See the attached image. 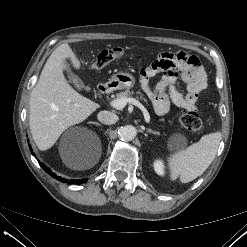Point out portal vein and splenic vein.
Segmentation results:
<instances>
[{
	"mask_svg": "<svg viewBox=\"0 0 247 247\" xmlns=\"http://www.w3.org/2000/svg\"><path fill=\"white\" fill-rule=\"evenodd\" d=\"M127 103H131L137 107H139L142 111H143V115H144V118H145V121L147 123L150 122V115L148 113V110L138 101L136 100L135 98H119V99H115V100H112L110 102V105L117 109V110H120V109H123Z\"/></svg>",
	"mask_w": 247,
	"mask_h": 247,
	"instance_id": "18ae733b",
	"label": "portal vein and splenic vein"
}]
</instances>
